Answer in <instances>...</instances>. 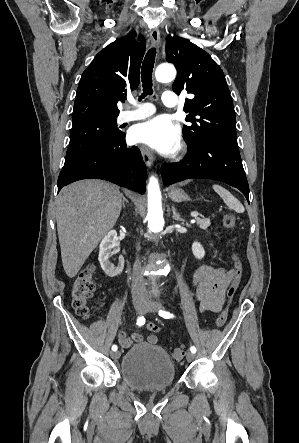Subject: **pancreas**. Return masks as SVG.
<instances>
[{
  "instance_id": "obj_1",
  "label": "pancreas",
  "mask_w": 299,
  "mask_h": 443,
  "mask_svg": "<svg viewBox=\"0 0 299 443\" xmlns=\"http://www.w3.org/2000/svg\"><path fill=\"white\" fill-rule=\"evenodd\" d=\"M196 223L203 230H206L211 224L209 218H203V219L196 218Z\"/></svg>"
}]
</instances>
